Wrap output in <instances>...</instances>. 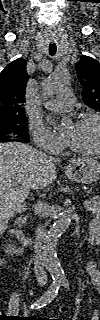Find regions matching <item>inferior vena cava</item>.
Listing matches in <instances>:
<instances>
[{
  "mask_svg": "<svg viewBox=\"0 0 100 320\" xmlns=\"http://www.w3.org/2000/svg\"><path fill=\"white\" fill-rule=\"evenodd\" d=\"M34 213L39 216V219L45 218L49 215V204L44 201H37L34 206ZM36 237L34 245V271L35 276L38 282L46 283L47 282V273L45 271V262L43 257V243L46 237L45 226L39 222L36 228Z\"/></svg>",
  "mask_w": 100,
  "mask_h": 320,
  "instance_id": "602c4592",
  "label": "inferior vena cava"
}]
</instances>
